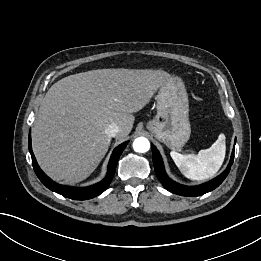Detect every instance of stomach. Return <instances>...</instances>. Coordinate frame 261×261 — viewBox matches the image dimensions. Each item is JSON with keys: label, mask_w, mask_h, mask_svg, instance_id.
I'll return each instance as SVG.
<instances>
[{"label": "stomach", "mask_w": 261, "mask_h": 261, "mask_svg": "<svg viewBox=\"0 0 261 261\" xmlns=\"http://www.w3.org/2000/svg\"><path fill=\"white\" fill-rule=\"evenodd\" d=\"M157 114L146 125L159 141L172 150H180L190 138L188 96L183 81L172 78L159 88Z\"/></svg>", "instance_id": "1"}]
</instances>
